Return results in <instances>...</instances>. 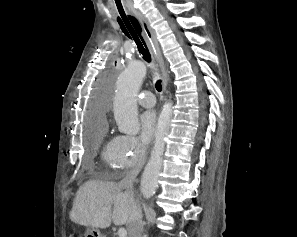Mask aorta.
Returning a JSON list of instances; mask_svg holds the SVG:
<instances>
[{
	"label": "aorta",
	"instance_id": "obj_1",
	"mask_svg": "<svg viewBox=\"0 0 297 237\" xmlns=\"http://www.w3.org/2000/svg\"><path fill=\"white\" fill-rule=\"evenodd\" d=\"M146 73V65L142 61L134 60L128 64L117 79L113 111L118 130L121 133L136 135L140 131L137 94ZM172 117L173 105L171 102H167L159 115L155 143L141 178L140 189L145 199H150L158 188L159 173L163 162L162 156Z\"/></svg>",
	"mask_w": 297,
	"mask_h": 237
}]
</instances>
